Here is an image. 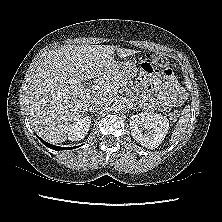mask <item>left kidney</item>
<instances>
[{
	"instance_id": "obj_1",
	"label": "left kidney",
	"mask_w": 222,
	"mask_h": 222,
	"mask_svg": "<svg viewBox=\"0 0 222 222\" xmlns=\"http://www.w3.org/2000/svg\"><path fill=\"white\" fill-rule=\"evenodd\" d=\"M129 125L134 140L148 149H154L168 133L169 121L161 114L145 111L133 115Z\"/></svg>"
}]
</instances>
